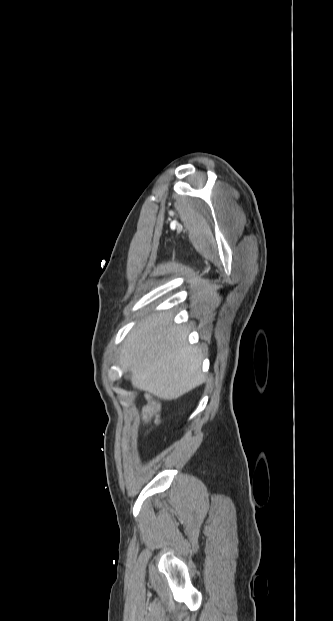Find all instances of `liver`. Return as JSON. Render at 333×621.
I'll return each mask as SVG.
<instances>
[{
  "label": "liver",
  "mask_w": 333,
  "mask_h": 621,
  "mask_svg": "<svg viewBox=\"0 0 333 621\" xmlns=\"http://www.w3.org/2000/svg\"><path fill=\"white\" fill-rule=\"evenodd\" d=\"M170 312L146 317L124 340L118 359L131 371L133 386L163 400H174L203 381L201 348L187 343V331Z\"/></svg>",
  "instance_id": "6515ba94"
}]
</instances>
